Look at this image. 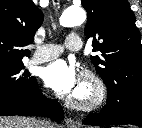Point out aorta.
I'll use <instances>...</instances> for the list:
<instances>
[{"label":"aorta","instance_id":"1","mask_svg":"<svg viewBox=\"0 0 142 128\" xmlns=\"http://www.w3.org/2000/svg\"><path fill=\"white\" fill-rule=\"evenodd\" d=\"M86 12L80 7H69L60 16L59 22L63 27H74L84 23Z\"/></svg>","mask_w":142,"mask_h":128}]
</instances>
